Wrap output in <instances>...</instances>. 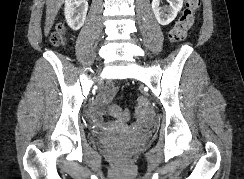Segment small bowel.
<instances>
[{"label": "small bowel", "instance_id": "small-bowel-1", "mask_svg": "<svg viewBox=\"0 0 244 179\" xmlns=\"http://www.w3.org/2000/svg\"><path fill=\"white\" fill-rule=\"evenodd\" d=\"M111 90L112 88H110V93L108 94L109 97L111 96ZM107 110H121V109L110 106ZM104 112L105 110L102 106H100L97 110V114L99 116H102ZM137 114L139 117V124L148 125L152 120V117L150 115H154V110H143L142 113H137ZM115 116H126V115H115Z\"/></svg>", "mask_w": 244, "mask_h": 179}]
</instances>
